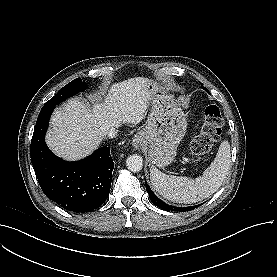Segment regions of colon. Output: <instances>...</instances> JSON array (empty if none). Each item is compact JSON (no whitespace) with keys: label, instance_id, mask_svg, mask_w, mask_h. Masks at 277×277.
<instances>
[{"label":"colon","instance_id":"5ec220e1","mask_svg":"<svg viewBox=\"0 0 277 277\" xmlns=\"http://www.w3.org/2000/svg\"><path fill=\"white\" fill-rule=\"evenodd\" d=\"M224 120L220 108L209 105L204 112V120L199 133L190 142L191 161L198 162L211 150L213 144L219 139Z\"/></svg>","mask_w":277,"mask_h":277}]
</instances>
